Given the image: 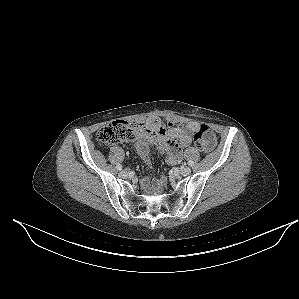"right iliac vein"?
Listing matches in <instances>:
<instances>
[{"label":"right iliac vein","mask_w":299,"mask_h":299,"mask_svg":"<svg viewBox=\"0 0 299 299\" xmlns=\"http://www.w3.org/2000/svg\"><path fill=\"white\" fill-rule=\"evenodd\" d=\"M119 176L122 177V178H127L128 173H127V171L122 170V171L119 172Z\"/></svg>","instance_id":"1"}]
</instances>
